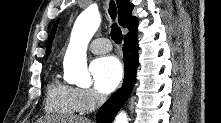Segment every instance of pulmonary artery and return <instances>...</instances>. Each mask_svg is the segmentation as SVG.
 I'll return each instance as SVG.
<instances>
[{"instance_id": "obj_1", "label": "pulmonary artery", "mask_w": 221, "mask_h": 123, "mask_svg": "<svg viewBox=\"0 0 221 123\" xmlns=\"http://www.w3.org/2000/svg\"><path fill=\"white\" fill-rule=\"evenodd\" d=\"M89 48L93 53L103 54L109 52L112 46L107 38H97L90 43Z\"/></svg>"}]
</instances>
